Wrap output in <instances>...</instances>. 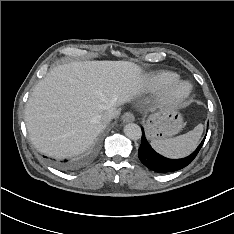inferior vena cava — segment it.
<instances>
[{"label":"inferior vena cava","instance_id":"inferior-vena-cava-1","mask_svg":"<svg viewBox=\"0 0 234 234\" xmlns=\"http://www.w3.org/2000/svg\"><path fill=\"white\" fill-rule=\"evenodd\" d=\"M119 114H120V110L114 107L108 111H105L103 114H101L100 120L104 124H107L111 119L118 117Z\"/></svg>","mask_w":234,"mask_h":234}]
</instances>
